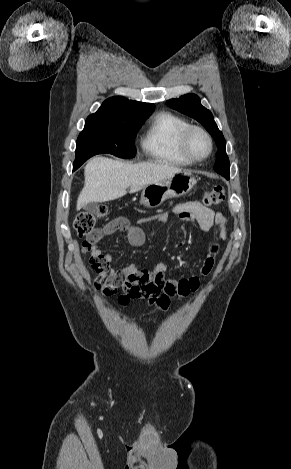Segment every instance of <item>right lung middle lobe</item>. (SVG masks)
I'll return each mask as SVG.
<instances>
[{
  "instance_id": "1",
  "label": "right lung middle lobe",
  "mask_w": 291,
  "mask_h": 469,
  "mask_svg": "<svg viewBox=\"0 0 291 469\" xmlns=\"http://www.w3.org/2000/svg\"><path fill=\"white\" fill-rule=\"evenodd\" d=\"M145 119L113 120L88 117L77 139L73 171L87 159L100 153H110L120 158L135 157L134 138Z\"/></svg>"
}]
</instances>
